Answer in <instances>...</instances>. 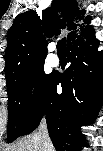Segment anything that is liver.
Returning <instances> with one entry per match:
<instances>
[{"instance_id":"obj_1","label":"liver","mask_w":103,"mask_h":151,"mask_svg":"<svg viewBox=\"0 0 103 151\" xmlns=\"http://www.w3.org/2000/svg\"><path fill=\"white\" fill-rule=\"evenodd\" d=\"M43 149L42 136L35 133L13 144L6 151H44ZM46 151H54L52 144L47 146Z\"/></svg>"}]
</instances>
